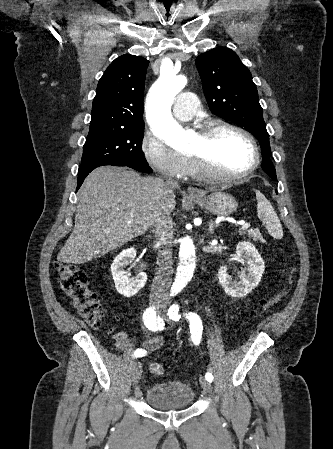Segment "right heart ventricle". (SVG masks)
<instances>
[{
    "label": "right heart ventricle",
    "instance_id": "e07e8e85",
    "mask_svg": "<svg viewBox=\"0 0 333 449\" xmlns=\"http://www.w3.org/2000/svg\"><path fill=\"white\" fill-rule=\"evenodd\" d=\"M198 175L199 174L196 170L194 163L192 162V160L190 158H188V166H187L186 173L184 176H198Z\"/></svg>",
    "mask_w": 333,
    "mask_h": 449
}]
</instances>
